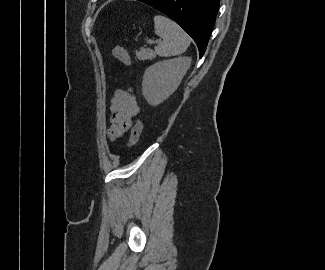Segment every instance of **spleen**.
<instances>
[{
	"mask_svg": "<svg viewBox=\"0 0 325 270\" xmlns=\"http://www.w3.org/2000/svg\"><path fill=\"white\" fill-rule=\"evenodd\" d=\"M154 29L155 34L162 39L155 47V52L161 57L180 55L190 45L189 36L177 23L167 17L156 15Z\"/></svg>",
	"mask_w": 325,
	"mask_h": 270,
	"instance_id": "spleen-1",
	"label": "spleen"
}]
</instances>
